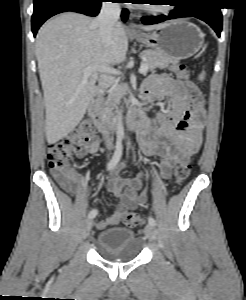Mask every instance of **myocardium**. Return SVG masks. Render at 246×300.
<instances>
[{
	"mask_svg": "<svg viewBox=\"0 0 246 300\" xmlns=\"http://www.w3.org/2000/svg\"><path fill=\"white\" fill-rule=\"evenodd\" d=\"M174 6L172 4H169L163 8H151L150 6H144V10H147L154 14H167L172 11Z\"/></svg>",
	"mask_w": 246,
	"mask_h": 300,
	"instance_id": "obj_1",
	"label": "myocardium"
}]
</instances>
